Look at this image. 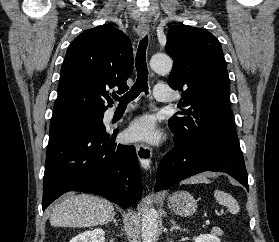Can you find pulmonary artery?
<instances>
[{"label":"pulmonary artery","instance_id":"pulmonary-artery-1","mask_svg":"<svg viewBox=\"0 0 279 242\" xmlns=\"http://www.w3.org/2000/svg\"><path fill=\"white\" fill-rule=\"evenodd\" d=\"M154 97L160 102H169L172 100L171 89L168 85H156L154 88ZM134 108L133 105L128 106V110Z\"/></svg>","mask_w":279,"mask_h":242}]
</instances>
